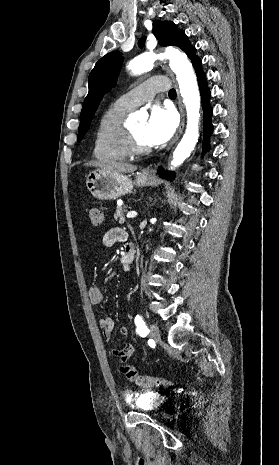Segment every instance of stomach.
Segmentation results:
<instances>
[{"label":"stomach","mask_w":279,"mask_h":465,"mask_svg":"<svg viewBox=\"0 0 279 465\" xmlns=\"http://www.w3.org/2000/svg\"><path fill=\"white\" fill-rule=\"evenodd\" d=\"M151 178L138 174L135 181L121 173H113L101 170L90 172L86 177V187L91 194L102 200H114L131 193L134 185L139 187L150 183Z\"/></svg>","instance_id":"0dacf381"}]
</instances>
